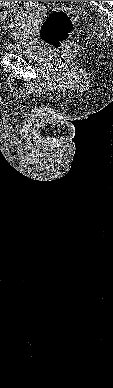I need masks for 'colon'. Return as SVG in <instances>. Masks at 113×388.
<instances>
[{"label":"colon","mask_w":113,"mask_h":388,"mask_svg":"<svg viewBox=\"0 0 113 388\" xmlns=\"http://www.w3.org/2000/svg\"><path fill=\"white\" fill-rule=\"evenodd\" d=\"M18 4L27 5L24 1H16ZM23 2V3H22ZM0 21L10 29L14 28V22L9 18L8 12L0 10ZM74 23L73 12L64 9L51 11L43 20L40 27L42 39L56 50L63 51L67 48Z\"/></svg>","instance_id":"5ec220e1"}]
</instances>
